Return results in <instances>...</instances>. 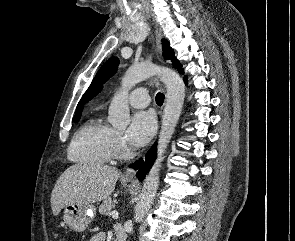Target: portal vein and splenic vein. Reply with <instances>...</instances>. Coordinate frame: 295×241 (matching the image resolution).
<instances>
[{
    "label": "portal vein and splenic vein",
    "mask_w": 295,
    "mask_h": 241,
    "mask_svg": "<svg viewBox=\"0 0 295 241\" xmlns=\"http://www.w3.org/2000/svg\"><path fill=\"white\" fill-rule=\"evenodd\" d=\"M111 216H112V217H118V212L113 211V212L111 213Z\"/></svg>",
    "instance_id": "portal-vein-and-splenic-vein-1"
}]
</instances>
